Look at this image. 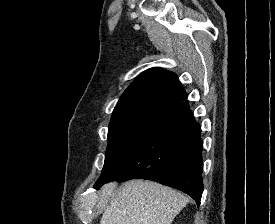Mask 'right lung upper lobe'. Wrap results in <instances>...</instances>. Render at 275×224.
<instances>
[{
    "instance_id": "obj_1",
    "label": "right lung upper lobe",
    "mask_w": 275,
    "mask_h": 224,
    "mask_svg": "<svg viewBox=\"0 0 275 224\" xmlns=\"http://www.w3.org/2000/svg\"><path fill=\"white\" fill-rule=\"evenodd\" d=\"M187 99L176 74L155 67L142 72L125 90L112 118L147 109L168 111Z\"/></svg>"
}]
</instances>
